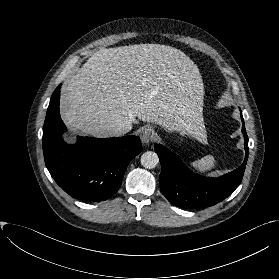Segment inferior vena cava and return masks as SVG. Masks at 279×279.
Segmentation results:
<instances>
[{
  "mask_svg": "<svg viewBox=\"0 0 279 279\" xmlns=\"http://www.w3.org/2000/svg\"><path fill=\"white\" fill-rule=\"evenodd\" d=\"M132 129V125L128 124L120 129L121 134H126Z\"/></svg>",
  "mask_w": 279,
  "mask_h": 279,
  "instance_id": "1",
  "label": "inferior vena cava"
}]
</instances>
